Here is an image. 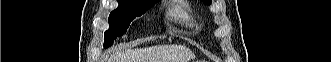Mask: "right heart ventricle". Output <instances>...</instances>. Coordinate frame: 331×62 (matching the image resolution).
Returning a JSON list of instances; mask_svg holds the SVG:
<instances>
[{
    "instance_id": "right-heart-ventricle-1",
    "label": "right heart ventricle",
    "mask_w": 331,
    "mask_h": 62,
    "mask_svg": "<svg viewBox=\"0 0 331 62\" xmlns=\"http://www.w3.org/2000/svg\"><path fill=\"white\" fill-rule=\"evenodd\" d=\"M171 15L174 19L183 21L189 26L194 27L195 23L192 15L190 14V7L183 1H179L172 9Z\"/></svg>"
}]
</instances>
